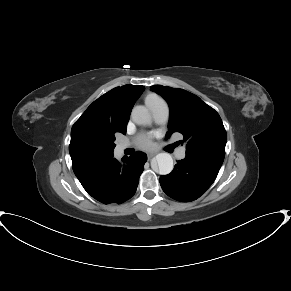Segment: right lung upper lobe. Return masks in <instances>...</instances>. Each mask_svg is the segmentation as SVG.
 Here are the masks:
<instances>
[{
  "instance_id": "cb5924a9",
  "label": "right lung upper lobe",
  "mask_w": 291,
  "mask_h": 291,
  "mask_svg": "<svg viewBox=\"0 0 291 291\" xmlns=\"http://www.w3.org/2000/svg\"><path fill=\"white\" fill-rule=\"evenodd\" d=\"M143 90L144 86L116 87L86 109L71 130L72 162L113 154L110 142L116 133H126L132 107Z\"/></svg>"
}]
</instances>
